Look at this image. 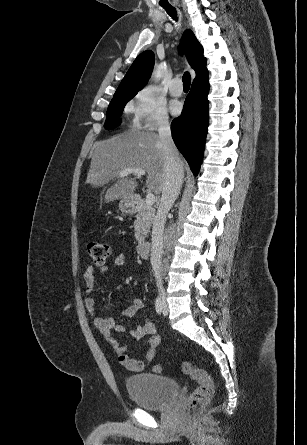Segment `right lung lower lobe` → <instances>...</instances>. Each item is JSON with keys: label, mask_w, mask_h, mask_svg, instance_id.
I'll use <instances>...</instances> for the list:
<instances>
[{"label": "right lung lower lobe", "mask_w": 307, "mask_h": 445, "mask_svg": "<svg viewBox=\"0 0 307 445\" xmlns=\"http://www.w3.org/2000/svg\"><path fill=\"white\" fill-rule=\"evenodd\" d=\"M208 71L193 81L182 114L171 124L173 140L197 176L203 158L208 127Z\"/></svg>", "instance_id": "right-lung-lower-lobe-1"}]
</instances>
